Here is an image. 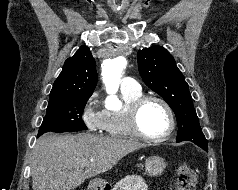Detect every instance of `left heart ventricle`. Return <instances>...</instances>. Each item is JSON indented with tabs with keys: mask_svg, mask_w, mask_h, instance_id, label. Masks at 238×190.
<instances>
[{
	"mask_svg": "<svg viewBox=\"0 0 238 190\" xmlns=\"http://www.w3.org/2000/svg\"><path fill=\"white\" fill-rule=\"evenodd\" d=\"M141 129L149 136L158 137L167 132L170 121L165 109L157 102H149L140 112Z\"/></svg>",
	"mask_w": 238,
	"mask_h": 190,
	"instance_id": "obj_1",
	"label": "left heart ventricle"
}]
</instances>
